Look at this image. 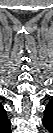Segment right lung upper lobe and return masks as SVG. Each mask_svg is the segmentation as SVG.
Segmentation results:
<instances>
[{"label": "right lung upper lobe", "mask_w": 53, "mask_h": 133, "mask_svg": "<svg viewBox=\"0 0 53 133\" xmlns=\"http://www.w3.org/2000/svg\"><path fill=\"white\" fill-rule=\"evenodd\" d=\"M10 121L7 118L6 110L0 105V129L6 130L7 133L10 132Z\"/></svg>", "instance_id": "obj_1"}]
</instances>
